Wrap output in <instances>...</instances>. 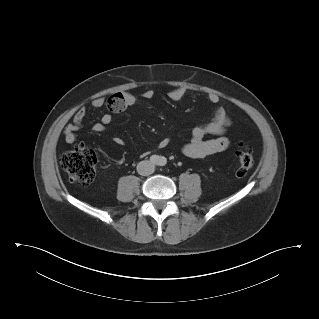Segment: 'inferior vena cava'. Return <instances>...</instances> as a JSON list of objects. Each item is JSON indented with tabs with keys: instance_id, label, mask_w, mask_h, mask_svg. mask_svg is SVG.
<instances>
[{
	"instance_id": "602c4592",
	"label": "inferior vena cava",
	"mask_w": 319,
	"mask_h": 319,
	"mask_svg": "<svg viewBox=\"0 0 319 319\" xmlns=\"http://www.w3.org/2000/svg\"><path fill=\"white\" fill-rule=\"evenodd\" d=\"M137 172L142 176L150 175L154 172V165L148 160L141 161L137 165Z\"/></svg>"
}]
</instances>
